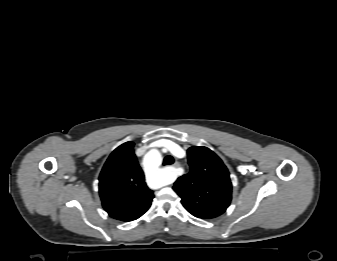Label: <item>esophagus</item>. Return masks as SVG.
<instances>
[{"mask_svg":"<svg viewBox=\"0 0 337 261\" xmlns=\"http://www.w3.org/2000/svg\"><path fill=\"white\" fill-rule=\"evenodd\" d=\"M173 166H174V167H179L180 164H179L178 162H175Z\"/></svg>","mask_w":337,"mask_h":261,"instance_id":"obj_1","label":"esophagus"}]
</instances>
